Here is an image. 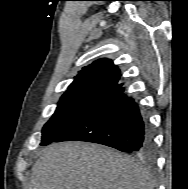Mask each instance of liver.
Instances as JSON below:
<instances>
[{
	"mask_svg": "<svg viewBox=\"0 0 188 189\" xmlns=\"http://www.w3.org/2000/svg\"><path fill=\"white\" fill-rule=\"evenodd\" d=\"M151 175L128 156L92 143L46 147L24 189H153Z\"/></svg>",
	"mask_w": 188,
	"mask_h": 189,
	"instance_id": "6515ba94",
	"label": "liver"
}]
</instances>
